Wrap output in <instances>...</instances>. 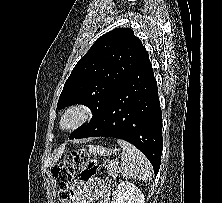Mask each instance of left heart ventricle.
<instances>
[{
  "label": "left heart ventricle",
  "mask_w": 222,
  "mask_h": 203,
  "mask_svg": "<svg viewBox=\"0 0 222 203\" xmlns=\"http://www.w3.org/2000/svg\"><path fill=\"white\" fill-rule=\"evenodd\" d=\"M74 121H75V117H70V118L67 119L66 125H70V124H72Z\"/></svg>",
  "instance_id": "1"
}]
</instances>
